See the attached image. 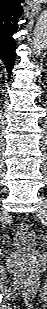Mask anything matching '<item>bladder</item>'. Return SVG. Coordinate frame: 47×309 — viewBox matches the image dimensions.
<instances>
[{
    "label": "bladder",
    "instance_id": "1",
    "mask_svg": "<svg viewBox=\"0 0 47 309\" xmlns=\"http://www.w3.org/2000/svg\"><path fill=\"white\" fill-rule=\"evenodd\" d=\"M39 245L38 236L29 230L17 234L12 240V246L20 250H31Z\"/></svg>",
    "mask_w": 47,
    "mask_h": 309
}]
</instances>
